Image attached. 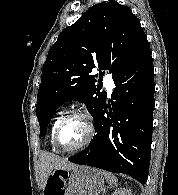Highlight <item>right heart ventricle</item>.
<instances>
[{"label": "right heart ventricle", "instance_id": "right-heart-ventricle-1", "mask_svg": "<svg viewBox=\"0 0 178 195\" xmlns=\"http://www.w3.org/2000/svg\"><path fill=\"white\" fill-rule=\"evenodd\" d=\"M62 118H63L62 117V112L58 113L57 116L54 118V120L52 122V125H51V129H50V144H51L52 149L56 152H58V150L53 145V134H54V131H55V128H56L57 124L59 123V121Z\"/></svg>", "mask_w": 178, "mask_h": 195}]
</instances>
